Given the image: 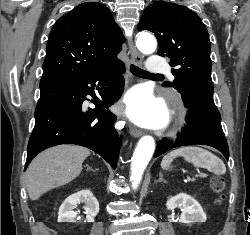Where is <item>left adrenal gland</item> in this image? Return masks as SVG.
<instances>
[{
  "instance_id": "left-adrenal-gland-1",
  "label": "left adrenal gland",
  "mask_w": 250,
  "mask_h": 235,
  "mask_svg": "<svg viewBox=\"0 0 250 235\" xmlns=\"http://www.w3.org/2000/svg\"><path fill=\"white\" fill-rule=\"evenodd\" d=\"M155 182H164V183H166V181L163 179V176H162L161 173H159V179L156 180Z\"/></svg>"
}]
</instances>
